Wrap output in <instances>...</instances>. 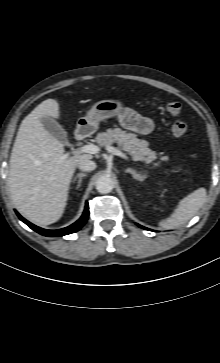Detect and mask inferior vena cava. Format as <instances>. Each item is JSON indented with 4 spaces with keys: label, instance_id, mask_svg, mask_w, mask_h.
Masks as SVG:
<instances>
[{
    "label": "inferior vena cava",
    "instance_id": "obj_1",
    "mask_svg": "<svg viewBox=\"0 0 220 363\" xmlns=\"http://www.w3.org/2000/svg\"><path fill=\"white\" fill-rule=\"evenodd\" d=\"M78 167L82 171L89 172L96 168V163L90 159H82L79 161Z\"/></svg>",
    "mask_w": 220,
    "mask_h": 363
}]
</instances>
